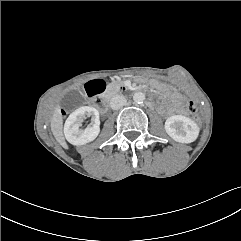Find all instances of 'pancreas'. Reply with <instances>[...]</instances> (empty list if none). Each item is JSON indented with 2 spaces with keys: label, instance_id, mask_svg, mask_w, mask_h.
<instances>
[{
  "label": "pancreas",
  "instance_id": "pancreas-1",
  "mask_svg": "<svg viewBox=\"0 0 241 241\" xmlns=\"http://www.w3.org/2000/svg\"><path fill=\"white\" fill-rule=\"evenodd\" d=\"M118 84H122V82H121V81H119V82H118Z\"/></svg>",
  "mask_w": 241,
  "mask_h": 241
}]
</instances>
